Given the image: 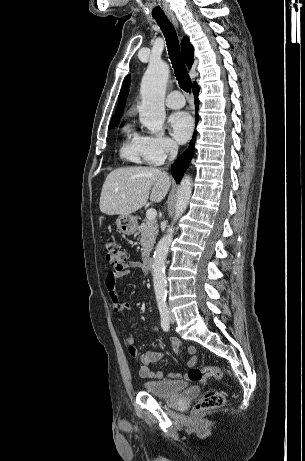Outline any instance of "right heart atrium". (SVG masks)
I'll return each instance as SVG.
<instances>
[{"mask_svg": "<svg viewBox=\"0 0 305 461\" xmlns=\"http://www.w3.org/2000/svg\"><path fill=\"white\" fill-rule=\"evenodd\" d=\"M175 142L160 134L142 136V149L146 161L150 164H161L169 155L175 152Z\"/></svg>", "mask_w": 305, "mask_h": 461, "instance_id": "1", "label": "right heart atrium"}]
</instances>
